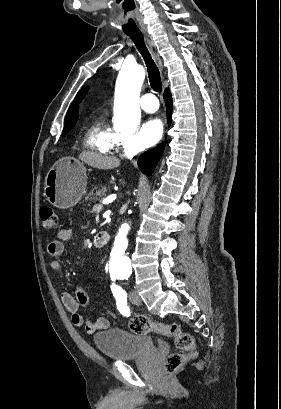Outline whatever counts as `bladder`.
<instances>
[{"mask_svg":"<svg viewBox=\"0 0 281 409\" xmlns=\"http://www.w3.org/2000/svg\"><path fill=\"white\" fill-rule=\"evenodd\" d=\"M92 343L108 361L128 362L135 355H157L158 344L148 334H136L120 327H106L92 336Z\"/></svg>","mask_w":281,"mask_h":409,"instance_id":"1","label":"bladder"}]
</instances>
